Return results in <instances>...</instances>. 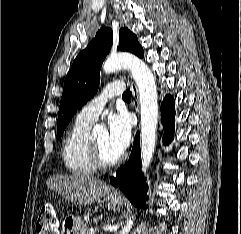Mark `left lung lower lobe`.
I'll return each instance as SVG.
<instances>
[{"mask_svg": "<svg viewBox=\"0 0 241 234\" xmlns=\"http://www.w3.org/2000/svg\"><path fill=\"white\" fill-rule=\"evenodd\" d=\"M175 120L174 99L171 95H166L161 104V122L165 135L163 141L167 144L173 138ZM139 132L135 136L132 152L129 161L116 172V177H112L110 182L125 193L126 197L136 206L143 208L147 200V185L143 180L141 172V152H140Z\"/></svg>", "mask_w": 241, "mask_h": 234, "instance_id": "0a47b994", "label": "left lung lower lobe"}]
</instances>
